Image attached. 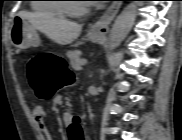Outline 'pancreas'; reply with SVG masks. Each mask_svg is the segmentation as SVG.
I'll list each match as a JSON object with an SVG mask.
<instances>
[{
	"label": "pancreas",
	"instance_id": "pancreas-1",
	"mask_svg": "<svg viewBox=\"0 0 182 140\" xmlns=\"http://www.w3.org/2000/svg\"><path fill=\"white\" fill-rule=\"evenodd\" d=\"M81 51L80 50H74L69 51L67 53V57L70 60V64L74 69H80L81 68V59H80Z\"/></svg>",
	"mask_w": 182,
	"mask_h": 140
}]
</instances>
